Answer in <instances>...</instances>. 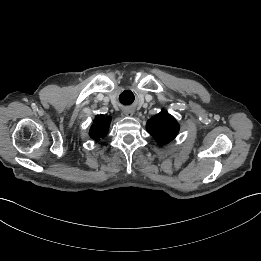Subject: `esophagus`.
<instances>
[{
    "label": "esophagus",
    "instance_id": "obj_1",
    "mask_svg": "<svg viewBox=\"0 0 261 261\" xmlns=\"http://www.w3.org/2000/svg\"><path fill=\"white\" fill-rule=\"evenodd\" d=\"M133 113H134L133 110H130V109H126V110H125V115H126V116H132Z\"/></svg>",
    "mask_w": 261,
    "mask_h": 261
}]
</instances>
